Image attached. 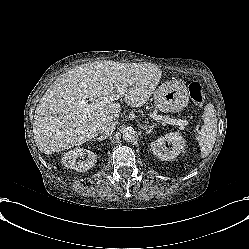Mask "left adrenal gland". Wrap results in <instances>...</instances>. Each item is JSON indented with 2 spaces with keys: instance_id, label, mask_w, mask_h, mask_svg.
Returning a JSON list of instances; mask_svg holds the SVG:
<instances>
[{
  "instance_id": "1",
  "label": "left adrenal gland",
  "mask_w": 249,
  "mask_h": 249,
  "mask_svg": "<svg viewBox=\"0 0 249 249\" xmlns=\"http://www.w3.org/2000/svg\"><path fill=\"white\" fill-rule=\"evenodd\" d=\"M155 126H156V125H152V126L143 125V126H142V129L145 130L147 133H151Z\"/></svg>"
}]
</instances>
